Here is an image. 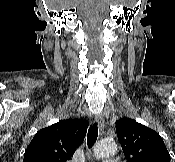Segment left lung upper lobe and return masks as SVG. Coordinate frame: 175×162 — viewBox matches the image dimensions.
<instances>
[{
  "instance_id": "5c2ea615",
  "label": "left lung upper lobe",
  "mask_w": 175,
  "mask_h": 162,
  "mask_svg": "<svg viewBox=\"0 0 175 162\" xmlns=\"http://www.w3.org/2000/svg\"><path fill=\"white\" fill-rule=\"evenodd\" d=\"M116 132L127 162H170V154L154 130L122 118L116 121Z\"/></svg>"
}]
</instances>
